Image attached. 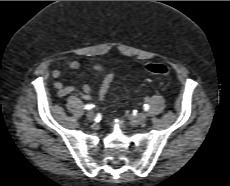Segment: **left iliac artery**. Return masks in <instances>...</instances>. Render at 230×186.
<instances>
[{
	"instance_id": "44dca946",
	"label": "left iliac artery",
	"mask_w": 230,
	"mask_h": 186,
	"mask_svg": "<svg viewBox=\"0 0 230 186\" xmlns=\"http://www.w3.org/2000/svg\"><path fill=\"white\" fill-rule=\"evenodd\" d=\"M149 107H150V106H149L148 104H145V105H144V110H145V111H148V110H149Z\"/></svg>"
}]
</instances>
